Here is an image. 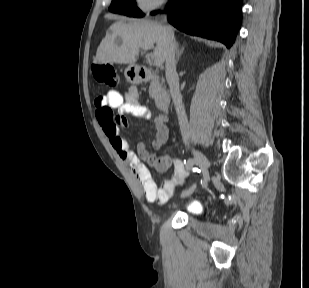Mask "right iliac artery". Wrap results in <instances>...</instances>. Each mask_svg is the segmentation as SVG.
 <instances>
[{"instance_id": "right-iliac-artery-1", "label": "right iliac artery", "mask_w": 309, "mask_h": 288, "mask_svg": "<svg viewBox=\"0 0 309 288\" xmlns=\"http://www.w3.org/2000/svg\"><path fill=\"white\" fill-rule=\"evenodd\" d=\"M185 163V162H184ZM195 166H197L198 168H201L202 167V164L200 163V161H197L196 163H195ZM197 168V169H198ZM188 173V172H187ZM195 189V186L194 185H191L190 186V188H186L185 189V192H182L181 193V196L182 197H186L187 196V193H191L192 192V190H194Z\"/></svg>"}]
</instances>
